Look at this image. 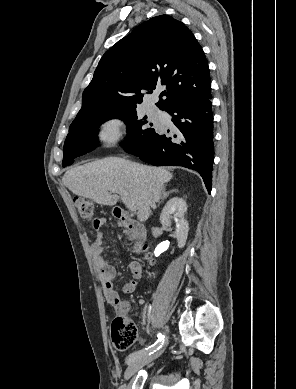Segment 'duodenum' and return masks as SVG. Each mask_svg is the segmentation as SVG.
Masks as SVG:
<instances>
[{"label": "duodenum", "instance_id": "410a0bca", "mask_svg": "<svg viewBox=\"0 0 296 389\" xmlns=\"http://www.w3.org/2000/svg\"><path fill=\"white\" fill-rule=\"evenodd\" d=\"M114 216L119 220L121 225L125 227L130 236L137 242L136 252H139L141 249V242L143 241L146 231L142 224L132 219L123 209L115 208Z\"/></svg>", "mask_w": 296, "mask_h": 389}]
</instances>
